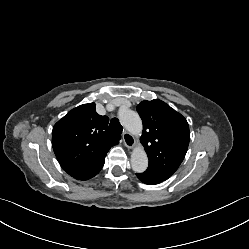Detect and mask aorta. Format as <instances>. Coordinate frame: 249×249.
<instances>
[{"instance_id":"aorta-1","label":"aorta","mask_w":249,"mask_h":249,"mask_svg":"<svg viewBox=\"0 0 249 249\" xmlns=\"http://www.w3.org/2000/svg\"><path fill=\"white\" fill-rule=\"evenodd\" d=\"M120 123L132 134L138 135L142 132V121L140 116L130 109L119 111ZM131 166L134 172L143 173L148 167V157L142 147H137L131 154Z\"/></svg>"}]
</instances>
